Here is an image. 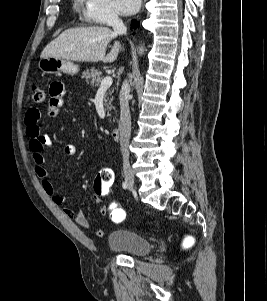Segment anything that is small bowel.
Wrapping results in <instances>:
<instances>
[{
    "label": "small bowel",
    "mask_w": 267,
    "mask_h": 301,
    "mask_svg": "<svg viewBox=\"0 0 267 301\" xmlns=\"http://www.w3.org/2000/svg\"><path fill=\"white\" fill-rule=\"evenodd\" d=\"M66 86L61 81H55L51 83L49 88V102L48 108L51 115H57L62 108L66 98ZM41 112L38 107H30L24 117L25 132L28 138V145L31 151V158L34 165V171L40 179L41 185L48 196L56 205H63L66 202V198L57 193L55 186L50 181L49 176L43 164L45 158L43 155V149L52 144L50 138L41 132L39 126V120ZM64 154L67 156H74L76 154V146L74 144H66L64 146ZM92 199L97 204H100V212L102 215H106L105 208L101 201L92 195ZM64 213L73 218L77 225L81 228L89 230L90 225L88 219L81 211H74L70 207L64 208ZM94 234L98 237H103L105 232L102 229L95 230Z\"/></svg>",
    "instance_id": "c3829d8e"
}]
</instances>
